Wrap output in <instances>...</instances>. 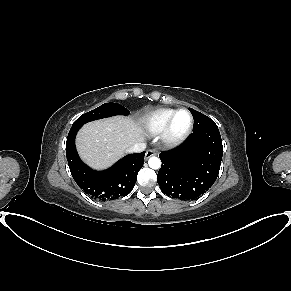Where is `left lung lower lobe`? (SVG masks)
<instances>
[{"label": "left lung lower lobe", "mask_w": 291, "mask_h": 291, "mask_svg": "<svg viewBox=\"0 0 291 291\" xmlns=\"http://www.w3.org/2000/svg\"><path fill=\"white\" fill-rule=\"evenodd\" d=\"M223 145L217 126L193 132L178 147L161 152L157 182L164 194L195 200L214 184L220 170Z\"/></svg>", "instance_id": "1"}]
</instances>
